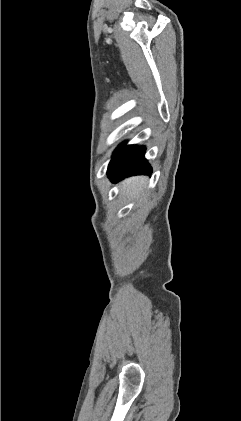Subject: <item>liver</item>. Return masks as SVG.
<instances>
[{
    "mask_svg": "<svg viewBox=\"0 0 241 421\" xmlns=\"http://www.w3.org/2000/svg\"><path fill=\"white\" fill-rule=\"evenodd\" d=\"M146 181V177L129 178L121 183L120 191L123 195H127L129 198L133 199L143 191L144 184L146 183Z\"/></svg>",
    "mask_w": 241,
    "mask_h": 421,
    "instance_id": "liver-1",
    "label": "liver"
}]
</instances>
